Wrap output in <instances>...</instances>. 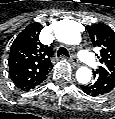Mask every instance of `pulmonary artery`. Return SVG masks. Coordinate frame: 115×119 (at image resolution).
Listing matches in <instances>:
<instances>
[{
	"label": "pulmonary artery",
	"mask_w": 115,
	"mask_h": 119,
	"mask_svg": "<svg viewBox=\"0 0 115 119\" xmlns=\"http://www.w3.org/2000/svg\"><path fill=\"white\" fill-rule=\"evenodd\" d=\"M78 54L81 60L87 65L94 66L96 64L94 58L86 50L81 49Z\"/></svg>",
	"instance_id": "1"
}]
</instances>
